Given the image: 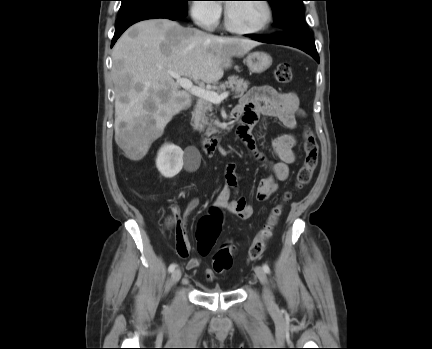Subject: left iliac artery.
Returning a JSON list of instances; mask_svg holds the SVG:
<instances>
[{
	"instance_id": "44dca946",
	"label": "left iliac artery",
	"mask_w": 432,
	"mask_h": 349,
	"mask_svg": "<svg viewBox=\"0 0 432 349\" xmlns=\"http://www.w3.org/2000/svg\"><path fill=\"white\" fill-rule=\"evenodd\" d=\"M263 270H264L267 274L270 273V268H269V266H268L267 264H264V265H263Z\"/></svg>"
}]
</instances>
